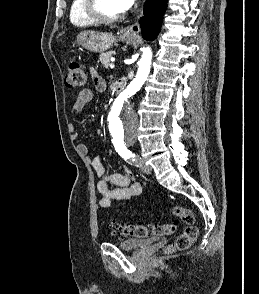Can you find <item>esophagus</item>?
I'll return each mask as SVG.
<instances>
[{"instance_id":"obj_1","label":"esophagus","mask_w":259,"mask_h":294,"mask_svg":"<svg viewBox=\"0 0 259 294\" xmlns=\"http://www.w3.org/2000/svg\"><path fill=\"white\" fill-rule=\"evenodd\" d=\"M145 0H143L144 2ZM124 32L129 35V36H137L138 33L140 32V26L137 22L135 23H132L131 25L127 26L125 29H124Z\"/></svg>"}]
</instances>
